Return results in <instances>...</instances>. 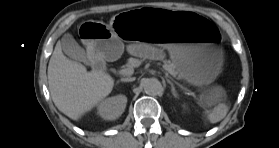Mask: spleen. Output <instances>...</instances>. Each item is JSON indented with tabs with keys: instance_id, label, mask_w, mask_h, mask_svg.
I'll return each instance as SVG.
<instances>
[{
	"instance_id": "3e777b00",
	"label": "spleen",
	"mask_w": 279,
	"mask_h": 148,
	"mask_svg": "<svg viewBox=\"0 0 279 148\" xmlns=\"http://www.w3.org/2000/svg\"><path fill=\"white\" fill-rule=\"evenodd\" d=\"M228 112V106L224 103L218 104L212 111H206L207 119L210 123L221 121Z\"/></svg>"
}]
</instances>
